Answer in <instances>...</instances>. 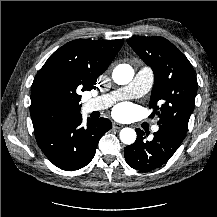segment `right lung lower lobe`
Instances as JSON below:
<instances>
[{"label":"right lung lower lobe","instance_id":"98d812e1","mask_svg":"<svg viewBox=\"0 0 217 217\" xmlns=\"http://www.w3.org/2000/svg\"><path fill=\"white\" fill-rule=\"evenodd\" d=\"M82 115L34 126L36 141L46 157L60 169L74 171L94 157L98 141L112 128L109 119H91L83 127Z\"/></svg>","mask_w":217,"mask_h":217}]
</instances>
